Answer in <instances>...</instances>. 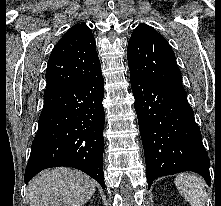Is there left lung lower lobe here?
Wrapping results in <instances>:
<instances>
[{"label": "left lung lower lobe", "mask_w": 221, "mask_h": 206, "mask_svg": "<svg viewBox=\"0 0 221 206\" xmlns=\"http://www.w3.org/2000/svg\"><path fill=\"white\" fill-rule=\"evenodd\" d=\"M148 188L161 176L197 172L211 184L210 161L185 91L130 75Z\"/></svg>", "instance_id": "obj_1"}]
</instances>
